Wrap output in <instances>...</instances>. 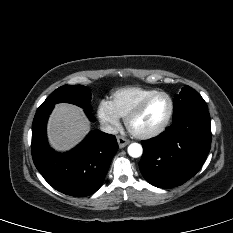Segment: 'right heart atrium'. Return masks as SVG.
<instances>
[{"label":"right heart atrium","mask_w":233,"mask_h":233,"mask_svg":"<svg viewBox=\"0 0 233 233\" xmlns=\"http://www.w3.org/2000/svg\"><path fill=\"white\" fill-rule=\"evenodd\" d=\"M97 116L101 123L106 127L110 132H115L120 127V117L114 111L110 102L101 101L97 108Z\"/></svg>","instance_id":"right-heart-atrium-1"}]
</instances>
